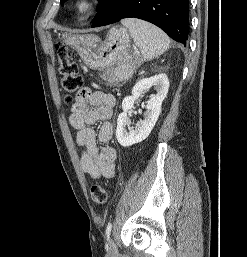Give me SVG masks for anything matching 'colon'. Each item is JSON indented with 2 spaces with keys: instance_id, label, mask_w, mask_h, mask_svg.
<instances>
[{
  "instance_id": "colon-1",
  "label": "colon",
  "mask_w": 247,
  "mask_h": 257,
  "mask_svg": "<svg viewBox=\"0 0 247 257\" xmlns=\"http://www.w3.org/2000/svg\"><path fill=\"white\" fill-rule=\"evenodd\" d=\"M58 72L61 87L67 97L72 96L80 90L83 78L78 73V66L74 62V53L66 46H58ZM91 199L96 204L106 203L108 193L105 187L94 185L90 190Z\"/></svg>"
}]
</instances>
